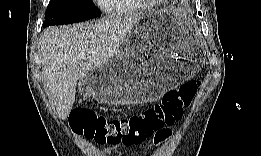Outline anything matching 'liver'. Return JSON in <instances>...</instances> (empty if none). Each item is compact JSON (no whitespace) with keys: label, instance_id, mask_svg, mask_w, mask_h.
<instances>
[{"label":"liver","instance_id":"obj_1","mask_svg":"<svg viewBox=\"0 0 261 156\" xmlns=\"http://www.w3.org/2000/svg\"><path fill=\"white\" fill-rule=\"evenodd\" d=\"M139 14L112 15L74 26L49 27L40 38L42 72L58 117L73 108L76 85L119 52Z\"/></svg>","mask_w":261,"mask_h":156}]
</instances>
